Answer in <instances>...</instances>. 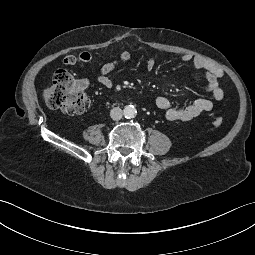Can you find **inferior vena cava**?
Returning <instances> with one entry per match:
<instances>
[{
	"label": "inferior vena cava",
	"mask_w": 255,
	"mask_h": 255,
	"mask_svg": "<svg viewBox=\"0 0 255 255\" xmlns=\"http://www.w3.org/2000/svg\"><path fill=\"white\" fill-rule=\"evenodd\" d=\"M122 116L123 111L119 107H115L110 111V117L115 121L120 120Z\"/></svg>",
	"instance_id": "obj_1"
}]
</instances>
